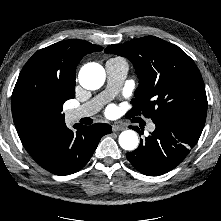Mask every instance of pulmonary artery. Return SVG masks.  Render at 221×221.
Instances as JSON below:
<instances>
[{
    "instance_id": "e3ab8cb5",
    "label": "pulmonary artery",
    "mask_w": 221,
    "mask_h": 221,
    "mask_svg": "<svg viewBox=\"0 0 221 221\" xmlns=\"http://www.w3.org/2000/svg\"><path fill=\"white\" fill-rule=\"evenodd\" d=\"M105 69L108 82L107 89L91 101L70 110L67 114L70 121H77L95 114L108 99L119 91L128 72V63L122 58H111L106 61ZM154 129L155 125L151 123L149 130L153 131Z\"/></svg>"
}]
</instances>
